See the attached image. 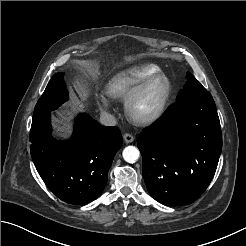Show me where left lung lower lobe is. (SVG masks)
<instances>
[{"mask_svg": "<svg viewBox=\"0 0 246 246\" xmlns=\"http://www.w3.org/2000/svg\"><path fill=\"white\" fill-rule=\"evenodd\" d=\"M150 195L168 206L191 204L210 184L222 149L216 105L207 91L172 104L137 139Z\"/></svg>", "mask_w": 246, "mask_h": 246, "instance_id": "0a47b994", "label": "left lung lower lobe"}]
</instances>
